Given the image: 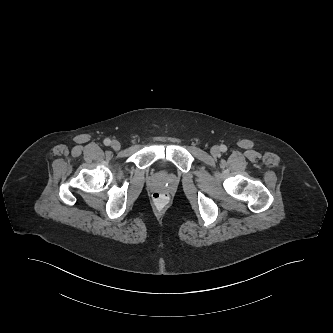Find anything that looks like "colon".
Here are the masks:
<instances>
[{"label":"colon","instance_id":"obj_1","mask_svg":"<svg viewBox=\"0 0 333 333\" xmlns=\"http://www.w3.org/2000/svg\"><path fill=\"white\" fill-rule=\"evenodd\" d=\"M153 198L152 207L155 210H163L169 203V196L163 191L154 193Z\"/></svg>","mask_w":333,"mask_h":333}]
</instances>
